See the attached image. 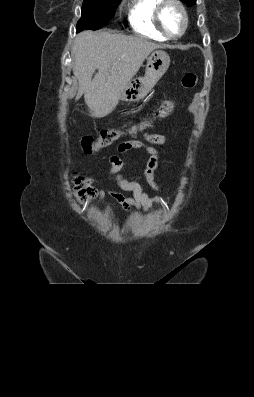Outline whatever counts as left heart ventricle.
Masks as SVG:
<instances>
[{"instance_id":"1","label":"left heart ventricle","mask_w":254,"mask_h":397,"mask_svg":"<svg viewBox=\"0 0 254 397\" xmlns=\"http://www.w3.org/2000/svg\"><path fill=\"white\" fill-rule=\"evenodd\" d=\"M162 24L169 34L177 35L183 25L180 10L173 5L166 6L162 13Z\"/></svg>"}]
</instances>
